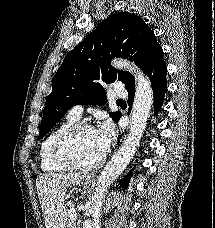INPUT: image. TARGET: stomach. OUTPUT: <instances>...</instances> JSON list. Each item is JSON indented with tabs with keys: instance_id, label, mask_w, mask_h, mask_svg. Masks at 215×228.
Listing matches in <instances>:
<instances>
[{
	"instance_id": "stomach-1",
	"label": "stomach",
	"mask_w": 215,
	"mask_h": 228,
	"mask_svg": "<svg viewBox=\"0 0 215 228\" xmlns=\"http://www.w3.org/2000/svg\"><path fill=\"white\" fill-rule=\"evenodd\" d=\"M93 176H86L85 180H81V186H84V188H88V186H92Z\"/></svg>"
}]
</instances>
